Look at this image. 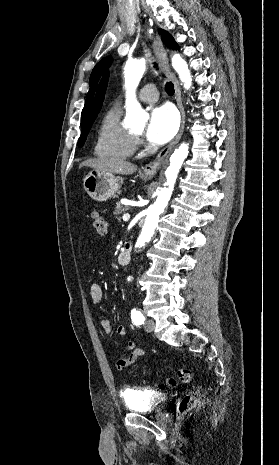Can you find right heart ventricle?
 Masks as SVG:
<instances>
[{
    "instance_id": "e07e8e85",
    "label": "right heart ventricle",
    "mask_w": 279,
    "mask_h": 465,
    "mask_svg": "<svg viewBox=\"0 0 279 465\" xmlns=\"http://www.w3.org/2000/svg\"><path fill=\"white\" fill-rule=\"evenodd\" d=\"M135 150V140L132 133L121 121V110L118 106L111 107L104 115L94 147V153L100 158L126 159Z\"/></svg>"
}]
</instances>
